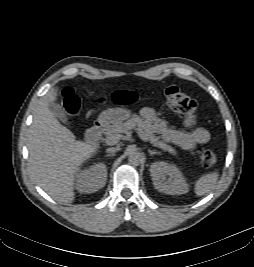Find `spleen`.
I'll list each match as a JSON object with an SVG mask.
<instances>
[{
  "mask_svg": "<svg viewBox=\"0 0 254 267\" xmlns=\"http://www.w3.org/2000/svg\"><path fill=\"white\" fill-rule=\"evenodd\" d=\"M218 181V173L212 172L202 175L195 183V193L197 196L209 194Z\"/></svg>",
  "mask_w": 254,
  "mask_h": 267,
  "instance_id": "obj_1",
  "label": "spleen"
}]
</instances>
